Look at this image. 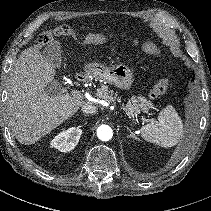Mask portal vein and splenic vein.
<instances>
[{"label": "portal vein and splenic vein", "mask_w": 211, "mask_h": 211, "mask_svg": "<svg viewBox=\"0 0 211 211\" xmlns=\"http://www.w3.org/2000/svg\"><path fill=\"white\" fill-rule=\"evenodd\" d=\"M72 95H73V97H75L77 99H83V94L78 90H73Z\"/></svg>", "instance_id": "portal-vein-and-splenic-vein-1"}]
</instances>
